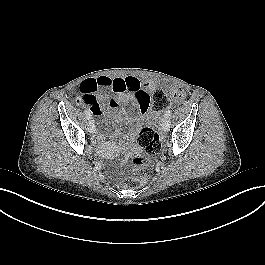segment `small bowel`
Segmentation results:
<instances>
[{"mask_svg": "<svg viewBox=\"0 0 265 265\" xmlns=\"http://www.w3.org/2000/svg\"><path fill=\"white\" fill-rule=\"evenodd\" d=\"M155 87L151 81L142 83L135 76L124 78H110L100 76L96 79L85 81L73 94L72 99L79 105L87 106L94 116L102 115L101 104L107 102L111 107H119L123 103L135 104L140 112L134 118L128 117L124 108H120L118 120L124 123L141 124L146 110L151 105L149 91ZM107 91H112L116 97H111ZM95 140L103 142V136L96 133Z\"/></svg>", "mask_w": 265, "mask_h": 265, "instance_id": "c3829d8e", "label": "small bowel"}]
</instances>
